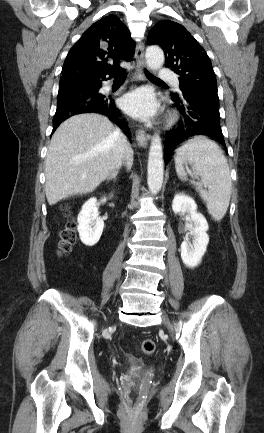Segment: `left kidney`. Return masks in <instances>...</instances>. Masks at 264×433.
Masks as SVG:
<instances>
[{
	"label": "left kidney",
	"mask_w": 264,
	"mask_h": 433,
	"mask_svg": "<svg viewBox=\"0 0 264 433\" xmlns=\"http://www.w3.org/2000/svg\"><path fill=\"white\" fill-rule=\"evenodd\" d=\"M172 210L175 214H188L191 217L192 244L188 239L181 243V258L185 266L195 268L201 262L209 243L207 220L201 213L197 212V204L193 198L183 193L175 195Z\"/></svg>",
	"instance_id": "obj_1"
}]
</instances>
